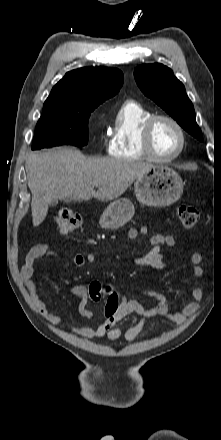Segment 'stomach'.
Masks as SVG:
<instances>
[{"label": "stomach", "mask_w": 221, "mask_h": 440, "mask_svg": "<svg viewBox=\"0 0 221 440\" xmlns=\"http://www.w3.org/2000/svg\"><path fill=\"white\" fill-rule=\"evenodd\" d=\"M184 183L180 175L167 166H154L136 179L134 191L139 202L148 206H167L177 201L183 193ZM134 215L129 199L120 198L104 210L99 224L105 229H118Z\"/></svg>", "instance_id": "0dacf381"}]
</instances>
